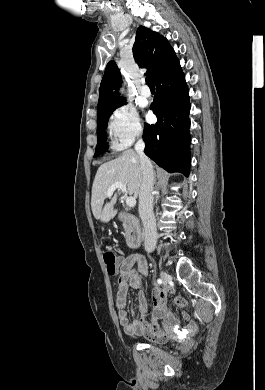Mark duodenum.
<instances>
[{
	"mask_svg": "<svg viewBox=\"0 0 265 390\" xmlns=\"http://www.w3.org/2000/svg\"><path fill=\"white\" fill-rule=\"evenodd\" d=\"M119 220L127 227L126 244L129 248H138L142 244V235L138 229L137 219L134 215L121 212Z\"/></svg>",
	"mask_w": 265,
	"mask_h": 390,
	"instance_id": "1",
	"label": "duodenum"
}]
</instances>
